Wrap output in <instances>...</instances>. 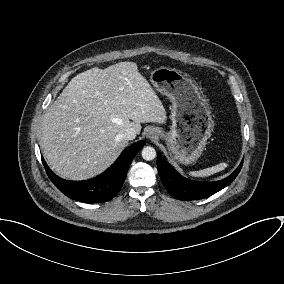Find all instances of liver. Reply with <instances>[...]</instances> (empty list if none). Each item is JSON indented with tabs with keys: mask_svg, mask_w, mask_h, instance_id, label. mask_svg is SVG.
Instances as JSON below:
<instances>
[{
	"mask_svg": "<svg viewBox=\"0 0 284 284\" xmlns=\"http://www.w3.org/2000/svg\"><path fill=\"white\" fill-rule=\"evenodd\" d=\"M166 111L134 62L76 75L48 107L41 148L51 168L65 179L102 173L127 145L123 133L141 123H165ZM132 120V121H131Z\"/></svg>",
	"mask_w": 284,
	"mask_h": 284,
	"instance_id": "liver-1",
	"label": "liver"
}]
</instances>
